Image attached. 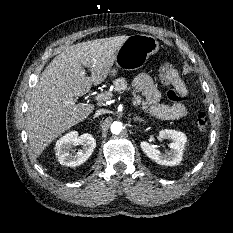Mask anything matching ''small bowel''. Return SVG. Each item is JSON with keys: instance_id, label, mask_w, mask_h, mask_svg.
I'll use <instances>...</instances> for the list:
<instances>
[{"instance_id": "obj_1", "label": "small bowel", "mask_w": 233, "mask_h": 233, "mask_svg": "<svg viewBox=\"0 0 233 233\" xmlns=\"http://www.w3.org/2000/svg\"><path fill=\"white\" fill-rule=\"evenodd\" d=\"M133 85L142 93L144 104L154 117L162 120H180L187 116L188 111L183 103L168 104L162 100L159 90L148 74H138L133 80ZM175 86L187 95V86L181 78Z\"/></svg>"}]
</instances>
